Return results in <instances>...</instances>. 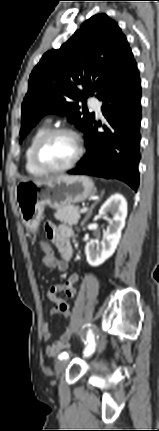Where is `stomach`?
Returning <instances> with one entry per match:
<instances>
[{
	"label": "stomach",
	"instance_id": "stomach-1",
	"mask_svg": "<svg viewBox=\"0 0 159 431\" xmlns=\"http://www.w3.org/2000/svg\"><path fill=\"white\" fill-rule=\"evenodd\" d=\"M96 192L87 176H59L44 182L20 181L15 189L19 212L25 226L37 232L45 206L61 208L83 202Z\"/></svg>",
	"mask_w": 159,
	"mask_h": 431
}]
</instances>
